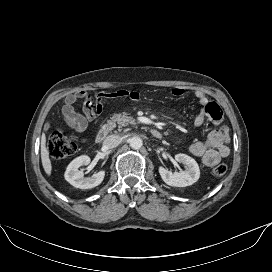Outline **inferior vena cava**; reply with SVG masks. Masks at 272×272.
Segmentation results:
<instances>
[{"label":"inferior vena cava","instance_id":"1","mask_svg":"<svg viewBox=\"0 0 272 272\" xmlns=\"http://www.w3.org/2000/svg\"><path fill=\"white\" fill-rule=\"evenodd\" d=\"M122 141L119 135H109L105 138L103 145L108 149L117 147Z\"/></svg>","mask_w":272,"mask_h":272}]
</instances>
